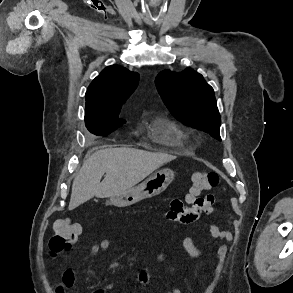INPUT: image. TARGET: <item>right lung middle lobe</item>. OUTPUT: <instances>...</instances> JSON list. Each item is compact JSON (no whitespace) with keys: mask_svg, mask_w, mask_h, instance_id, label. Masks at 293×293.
Masks as SVG:
<instances>
[{"mask_svg":"<svg viewBox=\"0 0 293 293\" xmlns=\"http://www.w3.org/2000/svg\"><path fill=\"white\" fill-rule=\"evenodd\" d=\"M119 113L115 112L108 115L85 117L86 127L95 135L109 134L126 122L118 118Z\"/></svg>","mask_w":293,"mask_h":293,"instance_id":"dd1d6c3e","label":"right lung middle lobe"}]
</instances>
